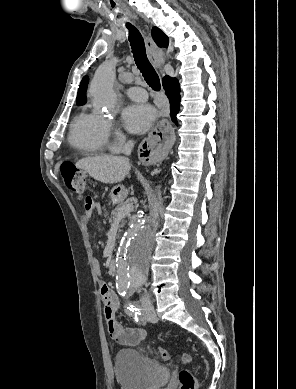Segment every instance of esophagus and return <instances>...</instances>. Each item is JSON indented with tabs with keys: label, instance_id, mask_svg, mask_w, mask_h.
<instances>
[{
	"label": "esophagus",
	"instance_id": "1",
	"mask_svg": "<svg viewBox=\"0 0 296 389\" xmlns=\"http://www.w3.org/2000/svg\"><path fill=\"white\" fill-rule=\"evenodd\" d=\"M145 45L150 62L159 70L160 74H163L161 70L162 56L149 34L145 35ZM176 140L177 135L173 131L171 122H156L152 130L143 135L141 139L139 152L142 154L143 166L149 168L153 163H158L160 158L167 157Z\"/></svg>",
	"mask_w": 296,
	"mask_h": 389
}]
</instances>
